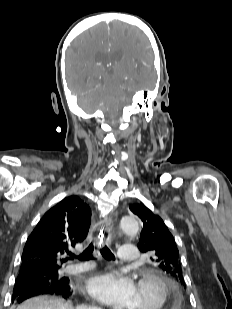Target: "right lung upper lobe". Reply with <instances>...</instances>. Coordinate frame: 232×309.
Returning <instances> with one entry per match:
<instances>
[{
  "instance_id": "cb5924a9",
  "label": "right lung upper lobe",
  "mask_w": 232,
  "mask_h": 309,
  "mask_svg": "<svg viewBox=\"0 0 232 309\" xmlns=\"http://www.w3.org/2000/svg\"><path fill=\"white\" fill-rule=\"evenodd\" d=\"M91 210L79 197L69 196L48 210L27 238L22 265L35 274L58 270L69 248L82 242L89 231Z\"/></svg>"
}]
</instances>
